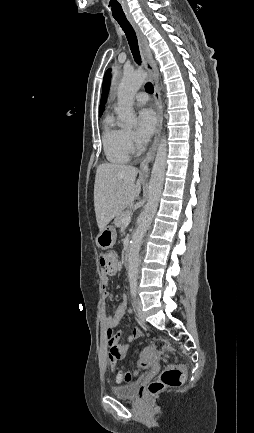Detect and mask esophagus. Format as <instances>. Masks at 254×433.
<instances>
[{"instance_id": "esophagus-1", "label": "esophagus", "mask_w": 254, "mask_h": 433, "mask_svg": "<svg viewBox=\"0 0 254 433\" xmlns=\"http://www.w3.org/2000/svg\"><path fill=\"white\" fill-rule=\"evenodd\" d=\"M128 20L136 32L140 52H141L142 59L144 62V66L150 74L151 81H152V84L154 87V101H155V108H156V113H157V127H156L155 136H154L152 145L149 148L146 159H145L144 163H142L140 166V175L142 177H147L148 173H149L148 165L151 162V160L153 159L154 154H155L157 147L159 145L160 137H161V129H162L163 116H162L161 95H160V89H159V85H158L159 72H158V68H157V66H156V64L152 58V55L149 51L146 38H145L144 34L142 33L140 27L132 18H128Z\"/></svg>"}]
</instances>
